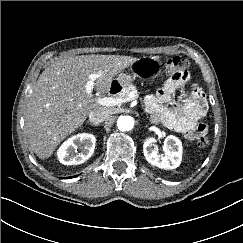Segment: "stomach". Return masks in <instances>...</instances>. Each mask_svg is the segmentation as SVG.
Returning <instances> with one entry per match:
<instances>
[{
    "mask_svg": "<svg viewBox=\"0 0 243 243\" xmlns=\"http://www.w3.org/2000/svg\"><path fill=\"white\" fill-rule=\"evenodd\" d=\"M129 67L132 74L121 73L116 78V81L122 87L129 85L133 81V77L143 79L156 77L160 70V59L157 56L135 59Z\"/></svg>",
    "mask_w": 243,
    "mask_h": 243,
    "instance_id": "obj_1",
    "label": "stomach"
}]
</instances>
